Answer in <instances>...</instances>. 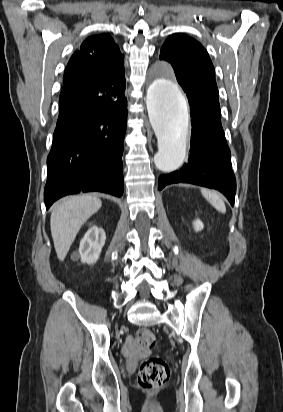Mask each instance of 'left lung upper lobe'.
Wrapping results in <instances>:
<instances>
[{
  "instance_id": "left-lung-upper-lobe-1",
  "label": "left lung upper lobe",
  "mask_w": 283,
  "mask_h": 412,
  "mask_svg": "<svg viewBox=\"0 0 283 412\" xmlns=\"http://www.w3.org/2000/svg\"><path fill=\"white\" fill-rule=\"evenodd\" d=\"M160 59L171 63L186 95L220 108L214 67L200 43L185 34L175 33L162 46Z\"/></svg>"
}]
</instances>
